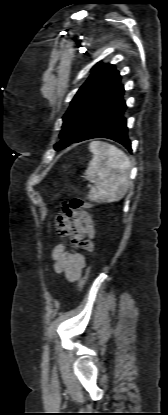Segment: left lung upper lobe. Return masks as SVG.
<instances>
[{"label":"left lung upper lobe","instance_id":"obj_1","mask_svg":"<svg viewBox=\"0 0 168 415\" xmlns=\"http://www.w3.org/2000/svg\"><path fill=\"white\" fill-rule=\"evenodd\" d=\"M120 80L114 65L99 62L92 68V74L79 88L63 117V128L78 127L62 131L56 150L76 142L105 106L124 91Z\"/></svg>","mask_w":168,"mask_h":415}]
</instances>
